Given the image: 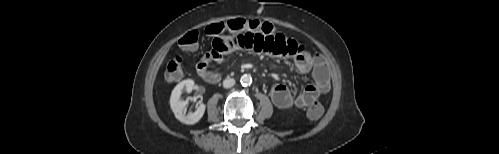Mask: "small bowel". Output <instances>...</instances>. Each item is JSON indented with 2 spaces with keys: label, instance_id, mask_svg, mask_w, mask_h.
Instances as JSON below:
<instances>
[{
  "label": "small bowel",
  "instance_id": "c3829d8e",
  "mask_svg": "<svg viewBox=\"0 0 499 154\" xmlns=\"http://www.w3.org/2000/svg\"><path fill=\"white\" fill-rule=\"evenodd\" d=\"M237 50H251L268 56L290 58L300 73L312 74L314 83L306 86L299 95H294L288 87L280 83L271 88V99L279 109L309 107L330 90V73L324 57L311 53L305 45L278 32L267 35L251 30L229 31L214 36L211 49L197 62L199 76L207 82L218 81L220 75L210 70V65L221 63L225 55Z\"/></svg>",
  "mask_w": 499,
  "mask_h": 154
}]
</instances>
